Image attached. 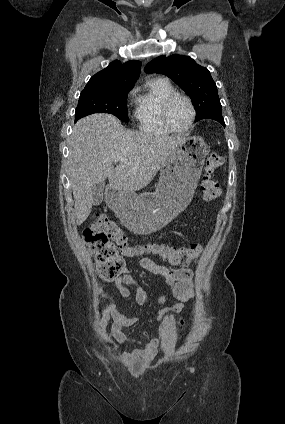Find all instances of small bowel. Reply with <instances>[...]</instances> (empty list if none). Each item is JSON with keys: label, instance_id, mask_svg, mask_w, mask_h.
I'll use <instances>...</instances> for the list:
<instances>
[{"label": "small bowel", "instance_id": "obj_1", "mask_svg": "<svg viewBox=\"0 0 285 424\" xmlns=\"http://www.w3.org/2000/svg\"><path fill=\"white\" fill-rule=\"evenodd\" d=\"M183 225L187 226L186 223H184ZM138 262L140 266L146 271L160 276L168 286V291L158 298V305L164 304L170 296H173L176 300H178V303L175 305L159 309L155 317L149 320L148 322L150 324H155L171 313H180L183 308V304L194 295V282L192 270L188 268H170L160 263H157L156 261L146 256L139 257ZM114 284L119 295L123 298H128L131 296V292L127 286L133 285L137 287L136 302L139 305L142 306L151 302L146 289L138 285L136 280L132 277L128 268H124L120 276L114 279ZM100 297L102 300L101 313L105 320H109L111 322L112 338L120 344L141 345V349L119 352V361L122 364L127 365L131 363V361L139 354H154L158 349L159 340L157 338L149 337L143 342L129 339L124 334L123 329L126 327L134 326L139 322V319L117 309L114 304L110 303L106 299L103 292H101ZM182 324V321H180V327L182 326Z\"/></svg>", "mask_w": 285, "mask_h": 424}]
</instances>
